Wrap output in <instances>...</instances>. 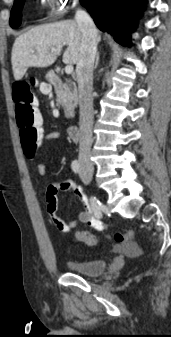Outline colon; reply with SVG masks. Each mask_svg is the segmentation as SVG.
<instances>
[{
  "instance_id": "5ec220e1",
  "label": "colon",
  "mask_w": 171,
  "mask_h": 337,
  "mask_svg": "<svg viewBox=\"0 0 171 337\" xmlns=\"http://www.w3.org/2000/svg\"><path fill=\"white\" fill-rule=\"evenodd\" d=\"M37 84L36 81L31 83ZM46 98L52 97L51 91L45 92ZM13 98L15 102L16 121L20 133L21 146L27 158L33 159L44 138L45 126H41V115L34 101L31 85L28 82H18L13 86ZM56 118H61V113H56ZM77 237L86 245L95 244V236L88 231H80ZM134 232H116L113 236L115 244L124 251L136 252L139 249L134 241Z\"/></svg>"
}]
</instances>
